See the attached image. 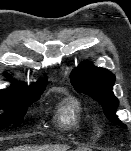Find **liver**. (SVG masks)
<instances>
[{
	"label": "liver",
	"mask_w": 131,
	"mask_h": 151,
	"mask_svg": "<svg viewBox=\"0 0 131 151\" xmlns=\"http://www.w3.org/2000/svg\"><path fill=\"white\" fill-rule=\"evenodd\" d=\"M67 146H43V147H18L10 151H67Z\"/></svg>",
	"instance_id": "6515ba94"
}]
</instances>
